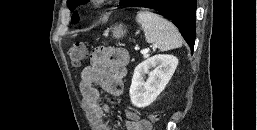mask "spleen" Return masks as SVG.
<instances>
[{"label":"spleen","mask_w":257,"mask_h":130,"mask_svg":"<svg viewBox=\"0 0 257 130\" xmlns=\"http://www.w3.org/2000/svg\"><path fill=\"white\" fill-rule=\"evenodd\" d=\"M136 21L142 26L145 39L160 51H168L182 46L183 39L178 29L169 21L147 10L137 13Z\"/></svg>","instance_id":"spleen-1"}]
</instances>
